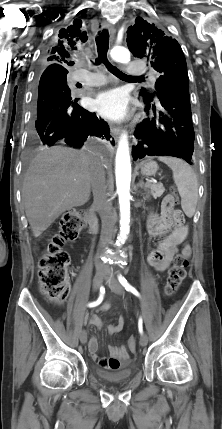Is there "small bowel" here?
Segmentation results:
<instances>
[{
    "mask_svg": "<svg viewBox=\"0 0 222 429\" xmlns=\"http://www.w3.org/2000/svg\"><path fill=\"white\" fill-rule=\"evenodd\" d=\"M147 229L151 237L162 238L157 246L150 251L147 256V263L156 271H165L178 252L179 245L183 244L182 254L189 257L190 246L185 243L189 228L185 224L183 213L174 208V205L162 204L160 213L154 211L149 213L147 219ZM110 308L107 302L103 305L102 311L106 312ZM91 325L99 329L103 328V322L98 316L89 319ZM125 319L120 316L115 324L107 327L110 334H116L123 330ZM99 343L95 336H92L88 343V350L93 361L101 368L118 370L126 366L130 361V354L125 346L109 345V357L98 355Z\"/></svg>",
    "mask_w": 222,
    "mask_h": 429,
    "instance_id": "obj_1",
    "label": "small bowel"
}]
</instances>
